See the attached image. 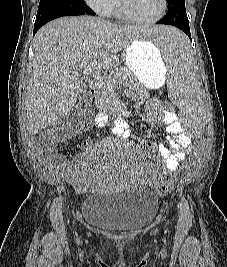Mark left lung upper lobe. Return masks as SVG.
Instances as JSON below:
<instances>
[{"label":"left lung upper lobe","instance_id":"obj_1","mask_svg":"<svg viewBox=\"0 0 227 267\" xmlns=\"http://www.w3.org/2000/svg\"><path fill=\"white\" fill-rule=\"evenodd\" d=\"M168 5H175L180 3H185V0H167Z\"/></svg>","mask_w":227,"mask_h":267}]
</instances>
